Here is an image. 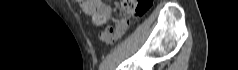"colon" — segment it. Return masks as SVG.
<instances>
[{
    "mask_svg": "<svg viewBox=\"0 0 238 70\" xmlns=\"http://www.w3.org/2000/svg\"><path fill=\"white\" fill-rule=\"evenodd\" d=\"M84 12L91 17L96 25H101L106 21L105 16L98 10L93 1L77 0ZM151 0H123L122 6L125 12L132 18L143 16L151 7Z\"/></svg>",
    "mask_w": 238,
    "mask_h": 70,
    "instance_id": "5ec220e1",
    "label": "colon"
}]
</instances>
